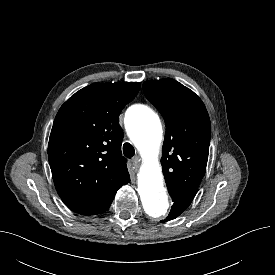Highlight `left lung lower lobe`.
<instances>
[{
  "mask_svg": "<svg viewBox=\"0 0 275 275\" xmlns=\"http://www.w3.org/2000/svg\"><path fill=\"white\" fill-rule=\"evenodd\" d=\"M171 195L173 206L167 219L162 222L169 221L178 217L191 204L196 193L191 191H169Z\"/></svg>",
  "mask_w": 275,
  "mask_h": 275,
  "instance_id": "0a47b994",
  "label": "left lung lower lobe"
}]
</instances>
